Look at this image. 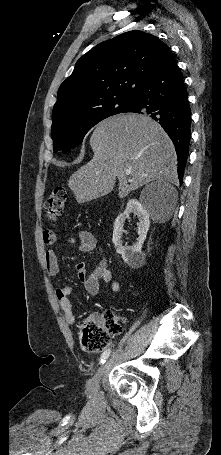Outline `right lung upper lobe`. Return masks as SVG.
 Instances as JSON below:
<instances>
[{
	"label": "right lung upper lobe",
	"instance_id": "obj_1",
	"mask_svg": "<svg viewBox=\"0 0 221 455\" xmlns=\"http://www.w3.org/2000/svg\"><path fill=\"white\" fill-rule=\"evenodd\" d=\"M168 53L165 43L138 30L98 44L77 61L61 84L53 122L106 100H132Z\"/></svg>",
	"mask_w": 221,
	"mask_h": 455
}]
</instances>
